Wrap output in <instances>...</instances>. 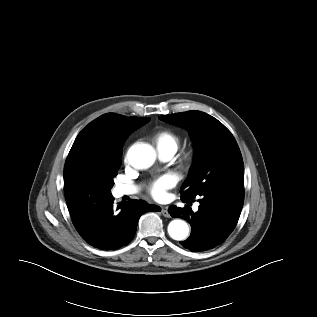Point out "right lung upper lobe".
Masks as SVG:
<instances>
[{
    "label": "right lung upper lobe",
    "mask_w": 317,
    "mask_h": 317,
    "mask_svg": "<svg viewBox=\"0 0 317 317\" xmlns=\"http://www.w3.org/2000/svg\"><path fill=\"white\" fill-rule=\"evenodd\" d=\"M141 120L142 118H126L114 113L104 114L90 122L78 134L70 152L85 145H94L122 154L125 140L130 133L139 128Z\"/></svg>",
    "instance_id": "cb5924a9"
}]
</instances>
